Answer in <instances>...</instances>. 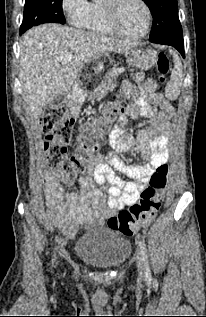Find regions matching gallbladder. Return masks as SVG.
Listing matches in <instances>:
<instances>
[{
	"label": "gallbladder",
	"instance_id": "gallbladder-1",
	"mask_svg": "<svg viewBox=\"0 0 206 317\" xmlns=\"http://www.w3.org/2000/svg\"><path fill=\"white\" fill-rule=\"evenodd\" d=\"M64 102V99H63V97L62 96H58V97H56V98H54L52 101H50V105L52 106V107H57V106H59L60 104H62Z\"/></svg>",
	"mask_w": 206,
	"mask_h": 317
}]
</instances>
